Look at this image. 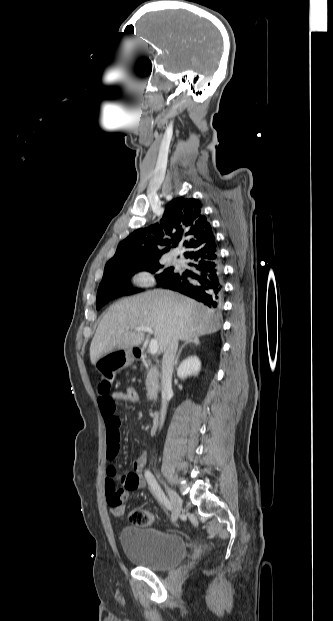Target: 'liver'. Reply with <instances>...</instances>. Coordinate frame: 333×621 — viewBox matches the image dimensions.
Wrapping results in <instances>:
<instances>
[{
    "instance_id": "1",
    "label": "liver",
    "mask_w": 333,
    "mask_h": 621,
    "mask_svg": "<svg viewBox=\"0 0 333 621\" xmlns=\"http://www.w3.org/2000/svg\"><path fill=\"white\" fill-rule=\"evenodd\" d=\"M220 316L190 298L169 290H154L124 298L112 305L103 316L90 345L94 365L108 353L132 349L144 341V332L135 327L154 329L161 352H165L173 335L188 341L215 333Z\"/></svg>"
}]
</instances>
